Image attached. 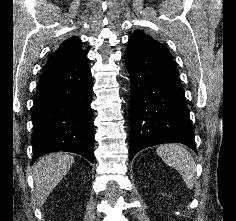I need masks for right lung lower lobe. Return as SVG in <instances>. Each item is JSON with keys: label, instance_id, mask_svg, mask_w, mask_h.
I'll use <instances>...</instances> for the list:
<instances>
[{"label": "right lung lower lobe", "instance_id": "1", "mask_svg": "<svg viewBox=\"0 0 236 221\" xmlns=\"http://www.w3.org/2000/svg\"><path fill=\"white\" fill-rule=\"evenodd\" d=\"M92 78L86 57L43 71L32 112L33 160L68 151L94 162Z\"/></svg>", "mask_w": 236, "mask_h": 221}]
</instances>
